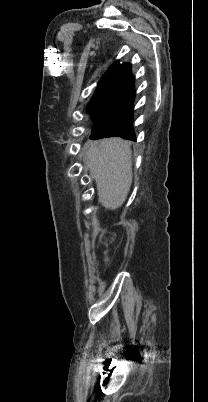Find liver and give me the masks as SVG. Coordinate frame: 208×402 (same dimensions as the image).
Here are the masks:
<instances>
[{
    "mask_svg": "<svg viewBox=\"0 0 208 402\" xmlns=\"http://www.w3.org/2000/svg\"><path fill=\"white\" fill-rule=\"evenodd\" d=\"M86 168L96 182L98 202L107 210L124 204L132 184L130 142L120 138L86 144Z\"/></svg>",
    "mask_w": 208,
    "mask_h": 402,
    "instance_id": "1",
    "label": "liver"
}]
</instances>
